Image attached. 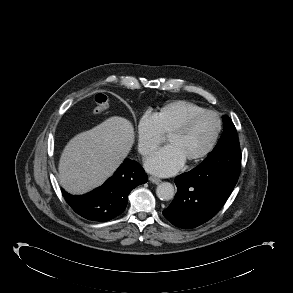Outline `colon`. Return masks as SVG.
<instances>
[{
  "label": "colon",
  "instance_id": "1",
  "mask_svg": "<svg viewBox=\"0 0 293 293\" xmlns=\"http://www.w3.org/2000/svg\"><path fill=\"white\" fill-rule=\"evenodd\" d=\"M94 114H101L109 108V98L104 93H97L93 96Z\"/></svg>",
  "mask_w": 293,
  "mask_h": 293
}]
</instances>
